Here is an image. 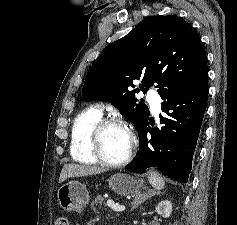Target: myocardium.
Instances as JSON below:
<instances>
[{"label":"myocardium","instance_id":"myocardium-1","mask_svg":"<svg viewBox=\"0 0 237 225\" xmlns=\"http://www.w3.org/2000/svg\"><path fill=\"white\" fill-rule=\"evenodd\" d=\"M110 126H117V127H121L123 129H125L127 131V133L130 136V140H131V144H130V148L129 151L127 153V155L125 156L124 159H122L121 161L118 162H113L108 160L102 150V134L104 132V130L107 127ZM90 148L91 151L94 155V157L97 159L98 162H100L101 164L107 166V167H111V168H120L123 166H126L133 158L135 150H136V146H137V138L136 135L134 133V131L132 130V128L125 122L115 119V118H101L99 119L92 127L91 131H90Z\"/></svg>","mask_w":237,"mask_h":225}]
</instances>
